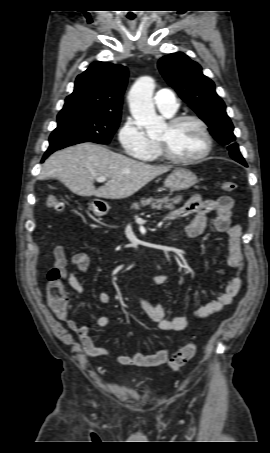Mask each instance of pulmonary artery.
I'll list each match as a JSON object with an SVG mask.
<instances>
[{
    "label": "pulmonary artery",
    "instance_id": "e3ab8cb5",
    "mask_svg": "<svg viewBox=\"0 0 270 453\" xmlns=\"http://www.w3.org/2000/svg\"><path fill=\"white\" fill-rule=\"evenodd\" d=\"M157 108L166 116L173 115L178 109L175 94L169 89H161L154 96Z\"/></svg>",
    "mask_w": 270,
    "mask_h": 453
}]
</instances>
